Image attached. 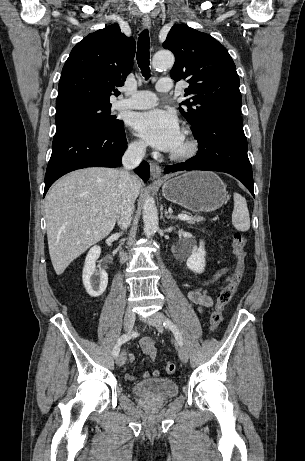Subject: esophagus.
Returning a JSON list of instances; mask_svg holds the SVG:
<instances>
[{"mask_svg":"<svg viewBox=\"0 0 305 461\" xmlns=\"http://www.w3.org/2000/svg\"><path fill=\"white\" fill-rule=\"evenodd\" d=\"M142 24L144 28L150 29L151 19L148 16H144L142 19ZM150 171H151V176L153 177V179L158 180V181L161 180L162 170H161V167L157 163L155 162L150 163Z\"/></svg>","mask_w":305,"mask_h":461,"instance_id":"34e87169","label":"esophagus"}]
</instances>
